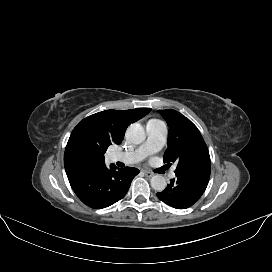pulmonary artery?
I'll return each mask as SVG.
<instances>
[{
    "instance_id": "1",
    "label": "pulmonary artery",
    "mask_w": 272,
    "mask_h": 272,
    "mask_svg": "<svg viewBox=\"0 0 272 272\" xmlns=\"http://www.w3.org/2000/svg\"><path fill=\"white\" fill-rule=\"evenodd\" d=\"M146 129L147 140L140 147L129 152H114L112 159L126 164H135L144 160L150 154L159 151L164 146L167 138L166 125L160 120L153 119L148 121ZM169 176L174 178L175 172L172 171Z\"/></svg>"
}]
</instances>
